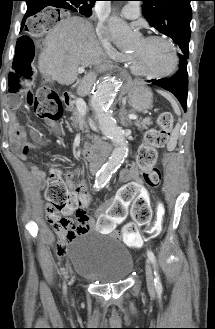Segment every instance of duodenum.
<instances>
[{"instance_id": "obj_1", "label": "duodenum", "mask_w": 215, "mask_h": 329, "mask_svg": "<svg viewBox=\"0 0 215 329\" xmlns=\"http://www.w3.org/2000/svg\"><path fill=\"white\" fill-rule=\"evenodd\" d=\"M62 100L65 106L69 107L72 104V94L65 92L62 94ZM109 152V146L106 142H99L94 146L86 147L83 150L84 158L89 161L94 168L99 167L105 160Z\"/></svg>"}]
</instances>
